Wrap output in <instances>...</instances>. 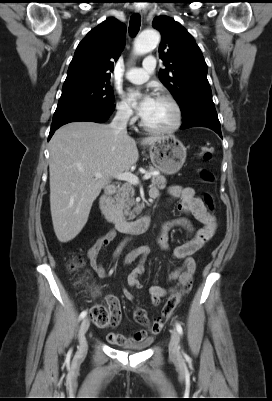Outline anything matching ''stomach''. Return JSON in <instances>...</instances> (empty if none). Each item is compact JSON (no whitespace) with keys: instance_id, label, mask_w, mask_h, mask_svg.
I'll use <instances>...</instances> for the list:
<instances>
[{"instance_id":"1","label":"stomach","mask_w":272,"mask_h":401,"mask_svg":"<svg viewBox=\"0 0 272 401\" xmlns=\"http://www.w3.org/2000/svg\"><path fill=\"white\" fill-rule=\"evenodd\" d=\"M152 164L164 174L178 172L186 159V148L174 135H166L149 147Z\"/></svg>"}]
</instances>
